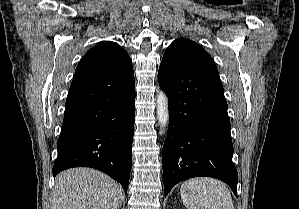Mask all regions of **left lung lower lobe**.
I'll list each match as a JSON object with an SVG mask.
<instances>
[{"mask_svg": "<svg viewBox=\"0 0 299 209\" xmlns=\"http://www.w3.org/2000/svg\"><path fill=\"white\" fill-rule=\"evenodd\" d=\"M158 80L170 113L163 146L165 196L178 182L197 176L222 180L237 196L228 106L218 72L161 63Z\"/></svg>", "mask_w": 299, "mask_h": 209, "instance_id": "left-lung-lower-lobe-1", "label": "left lung lower lobe"}]
</instances>
